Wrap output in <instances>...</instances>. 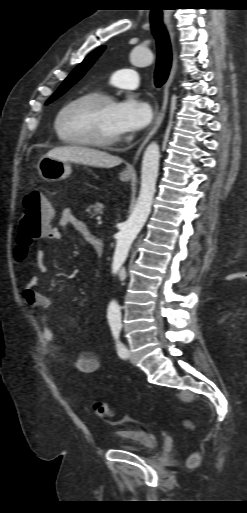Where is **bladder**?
<instances>
[{
	"mask_svg": "<svg viewBox=\"0 0 247 513\" xmlns=\"http://www.w3.org/2000/svg\"><path fill=\"white\" fill-rule=\"evenodd\" d=\"M159 446V440L138 429H120L116 431L109 450H124L142 453H152Z\"/></svg>",
	"mask_w": 247,
	"mask_h": 513,
	"instance_id": "31cf9c89",
	"label": "bladder"
}]
</instances>
